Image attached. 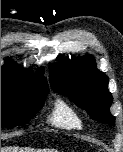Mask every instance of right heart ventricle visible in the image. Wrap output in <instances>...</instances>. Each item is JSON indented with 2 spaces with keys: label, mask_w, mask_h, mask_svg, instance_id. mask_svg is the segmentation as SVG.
<instances>
[{
  "label": "right heart ventricle",
  "mask_w": 123,
  "mask_h": 152,
  "mask_svg": "<svg viewBox=\"0 0 123 152\" xmlns=\"http://www.w3.org/2000/svg\"><path fill=\"white\" fill-rule=\"evenodd\" d=\"M47 121L54 127L65 130H82L84 121L79 113L63 100H57Z\"/></svg>",
  "instance_id": "e07e8e85"
}]
</instances>
